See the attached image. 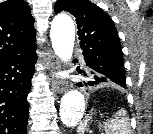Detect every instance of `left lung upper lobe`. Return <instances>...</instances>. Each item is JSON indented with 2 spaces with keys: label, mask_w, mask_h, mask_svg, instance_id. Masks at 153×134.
Instances as JSON below:
<instances>
[{
  "label": "left lung upper lobe",
  "mask_w": 153,
  "mask_h": 134,
  "mask_svg": "<svg viewBox=\"0 0 153 134\" xmlns=\"http://www.w3.org/2000/svg\"><path fill=\"white\" fill-rule=\"evenodd\" d=\"M63 10L76 18L87 66L102 75L106 84L126 88L122 48L111 17L89 0H58L55 13Z\"/></svg>",
  "instance_id": "left-lung-upper-lobe-1"
}]
</instances>
